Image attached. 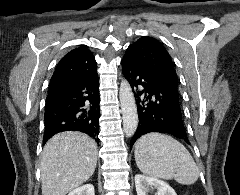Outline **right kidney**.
Masks as SVG:
<instances>
[{
	"instance_id": "right-kidney-1",
	"label": "right kidney",
	"mask_w": 240,
	"mask_h": 195,
	"mask_svg": "<svg viewBox=\"0 0 240 195\" xmlns=\"http://www.w3.org/2000/svg\"><path fill=\"white\" fill-rule=\"evenodd\" d=\"M68 195H95L94 185L92 183H85V185H80V187L72 189Z\"/></svg>"
}]
</instances>
